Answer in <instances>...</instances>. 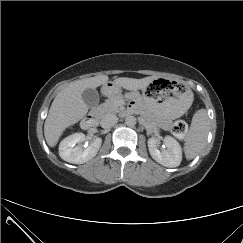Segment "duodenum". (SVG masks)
<instances>
[{
    "instance_id": "duodenum-1",
    "label": "duodenum",
    "mask_w": 243,
    "mask_h": 243,
    "mask_svg": "<svg viewBox=\"0 0 243 243\" xmlns=\"http://www.w3.org/2000/svg\"><path fill=\"white\" fill-rule=\"evenodd\" d=\"M111 92L112 91L109 88H107L105 90V93L108 94V95L111 94ZM97 123H98V119H97L96 114L90 113L82 121V126H83L84 129H92V128L96 127Z\"/></svg>"
}]
</instances>
